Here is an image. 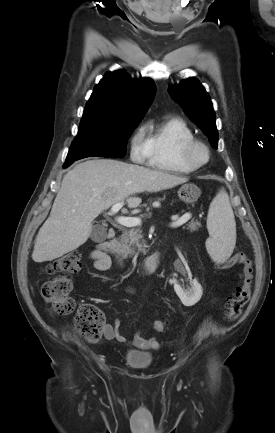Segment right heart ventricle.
I'll list each match as a JSON object with an SVG mask.
<instances>
[{
	"label": "right heart ventricle",
	"mask_w": 275,
	"mask_h": 433,
	"mask_svg": "<svg viewBox=\"0 0 275 433\" xmlns=\"http://www.w3.org/2000/svg\"><path fill=\"white\" fill-rule=\"evenodd\" d=\"M195 139L190 126L180 117L167 116L147 126V161L151 167L177 173H191L181 156L182 146Z\"/></svg>",
	"instance_id": "obj_1"
}]
</instances>
